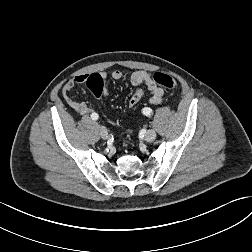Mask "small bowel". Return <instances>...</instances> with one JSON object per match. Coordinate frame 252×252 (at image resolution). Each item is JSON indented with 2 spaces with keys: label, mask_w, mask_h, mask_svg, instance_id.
<instances>
[{
  "label": "small bowel",
  "mask_w": 252,
  "mask_h": 252,
  "mask_svg": "<svg viewBox=\"0 0 252 252\" xmlns=\"http://www.w3.org/2000/svg\"><path fill=\"white\" fill-rule=\"evenodd\" d=\"M105 77V75H102ZM88 75L82 74L78 75L70 80H68L61 89L62 97L65 102L79 115L87 116L93 112V109L90 108L86 103L73 100L69 94L77 84H82L86 81ZM111 77L117 81L129 80L132 85L140 86L142 83H145L150 91V103L154 105H158L162 103L164 96V89L156 84L153 80V76L151 73L143 70L133 71L129 76L125 75L120 70H115L112 72Z\"/></svg>",
  "instance_id": "c3829d8e"
}]
</instances>
